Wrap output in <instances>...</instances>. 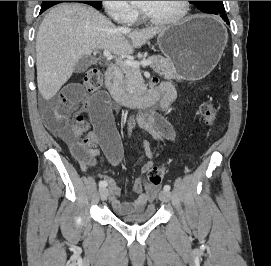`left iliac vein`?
Wrapping results in <instances>:
<instances>
[{
	"label": "left iliac vein",
	"mask_w": 271,
	"mask_h": 266,
	"mask_svg": "<svg viewBox=\"0 0 271 266\" xmlns=\"http://www.w3.org/2000/svg\"><path fill=\"white\" fill-rule=\"evenodd\" d=\"M159 199L162 201V202H169L170 199H171V194L170 192L168 191H161L159 193Z\"/></svg>",
	"instance_id": "obj_1"
}]
</instances>
